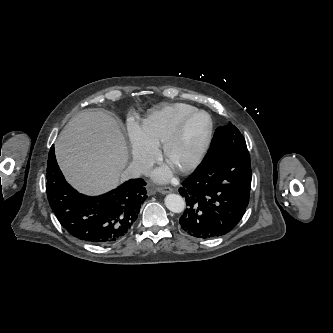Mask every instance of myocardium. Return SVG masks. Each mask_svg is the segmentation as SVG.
I'll return each instance as SVG.
<instances>
[{"label": "myocardium", "mask_w": 333, "mask_h": 333, "mask_svg": "<svg viewBox=\"0 0 333 333\" xmlns=\"http://www.w3.org/2000/svg\"><path fill=\"white\" fill-rule=\"evenodd\" d=\"M197 115H204V116H206V118L208 120V125H207V129L205 131V134H204L198 148L196 149L194 155L191 157V159L189 161H187L186 163H184L183 165H180V166H172L171 165L172 153H173L174 149L182 141L184 131H185L187 124L193 117H195ZM213 130H214V122H213L212 116L207 111L201 110V109H196L194 111L189 112L179 121V123L177 124L175 129L172 131V133L169 135V137L163 144V157H164L165 161L178 173L185 174V173L191 172L203 160V158L209 148V145H210V142L212 139V135H213Z\"/></svg>", "instance_id": "obj_1"}]
</instances>
